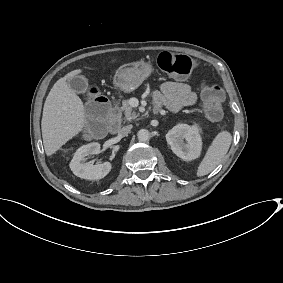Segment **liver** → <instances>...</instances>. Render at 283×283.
<instances>
[{
	"label": "liver",
	"mask_w": 283,
	"mask_h": 283,
	"mask_svg": "<svg viewBox=\"0 0 283 283\" xmlns=\"http://www.w3.org/2000/svg\"><path fill=\"white\" fill-rule=\"evenodd\" d=\"M81 73L73 70L60 78L50 90L43 108L41 130L47 156L54 154L85 125L81 99L67 85L66 80Z\"/></svg>",
	"instance_id": "liver-1"
}]
</instances>
